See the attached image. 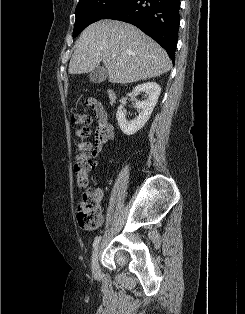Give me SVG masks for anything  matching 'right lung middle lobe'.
<instances>
[{"mask_svg": "<svg viewBox=\"0 0 245 314\" xmlns=\"http://www.w3.org/2000/svg\"><path fill=\"white\" fill-rule=\"evenodd\" d=\"M129 0H79L73 30L75 38L85 27L104 18Z\"/></svg>", "mask_w": 245, "mask_h": 314, "instance_id": "obj_1", "label": "right lung middle lobe"}]
</instances>
